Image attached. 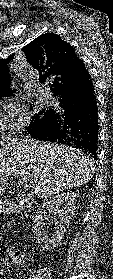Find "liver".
I'll use <instances>...</instances> for the list:
<instances>
[{
  "label": "liver",
  "mask_w": 113,
  "mask_h": 279,
  "mask_svg": "<svg viewBox=\"0 0 113 279\" xmlns=\"http://www.w3.org/2000/svg\"><path fill=\"white\" fill-rule=\"evenodd\" d=\"M6 171L23 176L37 198H52L64 190L89 182L94 160L69 146L33 139H6L0 148V194L8 188Z\"/></svg>",
  "instance_id": "1"
}]
</instances>
